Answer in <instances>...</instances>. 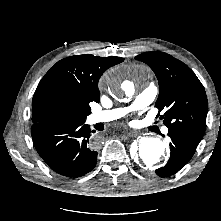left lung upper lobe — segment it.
Instances as JSON below:
<instances>
[{"instance_id":"obj_1","label":"left lung upper lobe","mask_w":221,"mask_h":221,"mask_svg":"<svg viewBox=\"0 0 221 221\" xmlns=\"http://www.w3.org/2000/svg\"><path fill=\"white\" fill-rule=\"evenodd\" d=\"M155 73L159 82V96L155 103L169 130H179L202 138L208 111L203 85L194 72L169 54L153 51L136 56Z\"/></svg>"}]
</instances>
